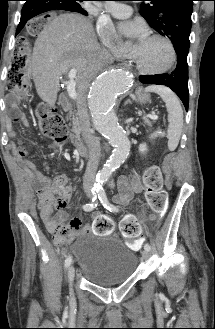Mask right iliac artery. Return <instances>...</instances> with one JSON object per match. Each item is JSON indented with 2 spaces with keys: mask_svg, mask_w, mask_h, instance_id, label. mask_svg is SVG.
I'll use <instances>...</instances> for the list:
<instances>
[{
  "mask_svg": "<svg viewBox=\"0 0 215 329\" xmlns=\"http://www.w3.org/2000/svg\"><path fill=\"white\" fill-rule=\"evenodd\" d=\"M96 192H97V190H95V189L92 190V195H93L92 201L88 204L83 205L84 211H87V212L92 211L94 208L97 207L98 202L96 200L97 199ZM71 262H72V257L68 256L65 260V267H68L71 264Z\"/></svg>",
  "mask_w": 215,
  "mask_h": 329,
  "instance_id": "82829eb1",
  "label": "right iliac artery"
}]
</instances>
